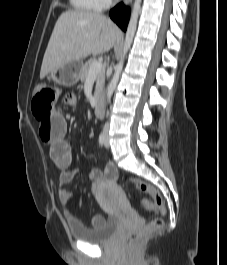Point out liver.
<instances>
[{"label": "liver", "mask_w": 227, "mask_h": 265, "mask_svg": "<svg viewBox=\"0 0 227 265\" xmlns=\"http://www.w3.org/2000/svg\"><path fill=\"white\" fill-rule=\"evenodd\" d=\"M121 37L120 29L99 13H62L54 26L43 57L40 79L67 63L109 51Z\"/></svg>", "instance_id": "obj_1"}]
</instances>
